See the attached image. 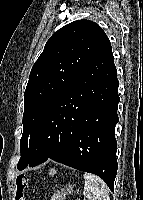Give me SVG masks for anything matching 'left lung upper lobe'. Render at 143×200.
Instances as JSON below:
<instances>
[{"label": "left lung upper lobe", "instance_id": "left-lung-upper-lobe-1", "mask_svg": "<svg viewBox=\"0 0 143 200\" xmlns=\"http://www.w3.org/2000/svg\"><path fill=\"white\" fill-rule=\"evenodd\" d=\"M108 43L102 28L90 20L74 21L49 38L24 92L19 170L25 169L32 158L42 116ZM63 112L56 115L60 117Z\"/></svg>", "mask_w": 143, "mask_h": 200}]
</instances>
